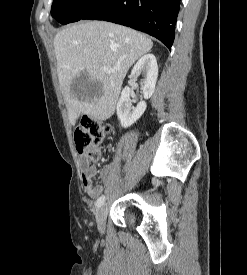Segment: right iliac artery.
I'll return each instance as SVG.
<instances>
[{"label":"right iliac artery","mask_w":247,"mask_h":275,"mask_svg":"<svg viewBox=\"0 0 247 275\" xmlns=\"http://www.w3.org/2000/svg\"><path fill=\"white\" fill-rule=\"evenodd\" d=\"M105 202V196L102 195L100 196L97 201H96V207H101L103 205V203Z\"/></svg>","instance_id":"right-iliac-artery-1"}]
</instances>
